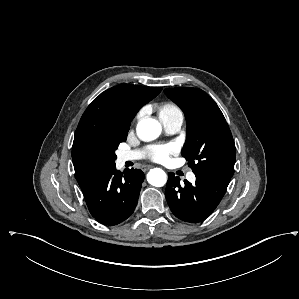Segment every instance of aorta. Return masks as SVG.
I'll return each mask as SVG.
<instances>
[{"instance_id": "1", "label": "aorta", "mask_w": 299, "mask_h": 299, "mask_svg": "<svg viewBox=\"0 0 299 299\" xmlns=\"http://www.w3.org/2000/svg\"><path fill=\"white\" fill-rule=\"evenodd\" d=\"M138 137L143 141H152L159 137L162 131L160 123L153 118H145L136 127ZM147 181L155 187H162L167 182L166 173L160 168H154L147 174Z\"/></svg>"}]
</instances>
